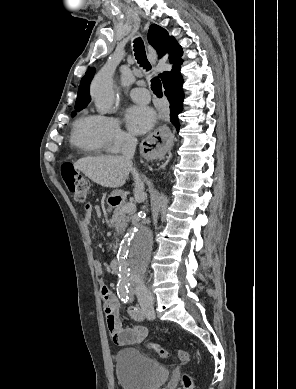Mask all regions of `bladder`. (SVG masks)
Returning <instances> with one entry per match:
<instances>
[{"label": "bladder", "instance_id": "obj_1", "mask_svg": "<svg viewBox=\"0 0 296 389\" xmlns=\"http://www.w3.org/2000/svg\"><path fill=\"white\" fill-rule=\"evenodd\" d=\"M114 363L118 383L123 389H158L169 376L163 364L134 348L119 350Z\"/></svg>", "mask_w": 296, "mask_h": 389}]
</instances>
